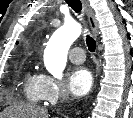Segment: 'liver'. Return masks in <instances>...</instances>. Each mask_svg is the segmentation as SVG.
Instances as JSON below:
<instances>
[{
	"mask_svg": "<svg viewBox=\"0 0 133 118\" xmlns=\"http://www.w3.org/2000/svg\"><path fill=\"white\" fill-rule=\"evenodd\" d=\"M5 118H49L47 109L32 105H15L7 108L3 115Z\"/></svg>",
	"mask_w": 133,
	"mask_h": 118,
	"instance_id": "obj_1",
	"label": "liver"
}]
</instances>
